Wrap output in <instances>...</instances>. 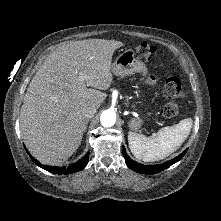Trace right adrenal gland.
Instances as JSON below:
<instances>
[{"label":"right adrenal gland","instance_id":"obj_1","mask_svg":"<svg viewBox=\"0 0 221 221\" xmlns=\"http://www.w3.org/2000/svg\"><path fill=\"white\" fill-rule=\"evenodd\" d=\"M88 122H89V120H86V121H85L84 132H85L86 129H87Z\"/></svg>","mask_w":221,"mask_h":221}]
</instances>
